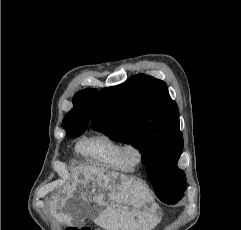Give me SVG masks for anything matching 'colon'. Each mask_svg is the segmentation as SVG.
<instances>
[{"instance_id": "5ec220e1", "label": "colon", "mask_w": 241, "mask_h": 230, "mask_svg": "<svg viewBox=\"0 0 241 230\" xmlns=\"http://www.w3.org/2000/svg\"><path fill=\"white\" fill-rule=\"evenodd\" d=\"M67 230H77V229L68 228ZM80 230H94V229H92L90 227H84V228H81Z\"/></svg>"}]
</instances>
